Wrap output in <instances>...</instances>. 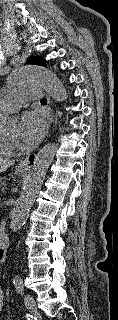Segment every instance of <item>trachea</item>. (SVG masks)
<instances>
[{
    "instance_id": "obj_1",
    "label": "trachea",
    "mask_w": 118,
    "mask_h": 320,
    "mask_svg": "<svg viewBox=\"0 0 118 320\" xmlns=\"http://www.w3.org/2000/svg\"><path fill=\"white\" fill-rule=\"evenodd\" d=\"M46 102H47L46 99L41 100V103H46Z\"/></svg>"
}]
</instances>
